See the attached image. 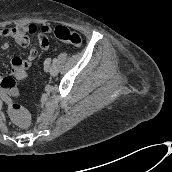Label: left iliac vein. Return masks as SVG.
<instances>
[{"instance_id": "left-iliac-vein-1", "label": "left iliac vein", "mask_w": 172, "mask_h": 172, "mask_svg": "<svg viewBox=\"0 0 172 172\" xmlns=\"http://www.w3.org/2000/svg\"><path fill=\"white\" fill-rule=\"evenodd\" d=\"M45 70L49 71V73L52 75V76H56L57 73H58V69H57V66L56 65H46L45 66Z\"/></svg>"}]
</instances>
